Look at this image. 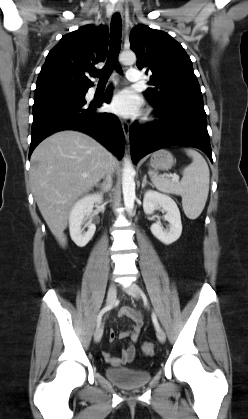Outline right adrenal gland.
<instances>
[{
    "label": "right adrenal gland",
    "instance_id": "right-adrenal-gland-1",
    "mask_svg": "<svg viewBox=\"0 0 248 419\" xmlns=\"http://www.w3.org/2000/svg\"><path fill=\"white\" fill-rule=\"evenodd\" d=\"M110 184H111V181L109 180L108 184H106V182L96 183L95 186L100 188L101 194H104L108 192V190L110 189Z\"/></svg>",
    "mask_w": 248,
    "mask_h": 419
}]
</instances>
